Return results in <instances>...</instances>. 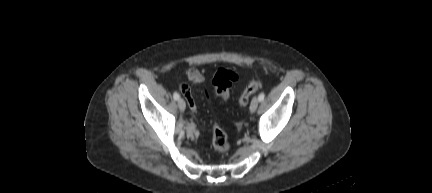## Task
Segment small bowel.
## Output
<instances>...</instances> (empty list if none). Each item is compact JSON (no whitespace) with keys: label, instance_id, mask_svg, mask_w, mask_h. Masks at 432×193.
Listing matches in <instances>:
<instances>
[{"label":"small bowel","instance_id":"1","mask_svg":"<svg viewBox=\"0 0 432 193\" xmlns=\"http://www.w3.org/2000/svg\"><path fill=\"white\" fill-rule=\"evenodd\" d=\"M186 76H187L188 81L192 85H198V84L202 83L204 80L203 75L196 68H190L187 71ZM181 91L185 95V97L187 98V101H188V104H189V107L191 108V110L195 111L197 107H196L195 100L191 94L189 86L186 84L181 85Z\"/></svg>","mask_w":432,"mask_h":193}]
</instances>
